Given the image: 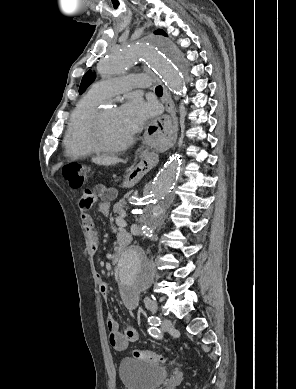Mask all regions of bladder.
Here are the masks:
<instances>
[{"label": "bladder", "mask_w": 296, "mask_h": 389, "mask_svg": "<svg viewBox=\"0 0 296 389\" xmlns=\"http://www.w3.org/2000/svg\"><path fill=\"white\" fill-rule=\"evenodd\" d=\"M119 377L125 389H157L166 381L168 371L162 366L123 358Z\"/></svg>", "instance_id": "obj_1"}]
</instances>
